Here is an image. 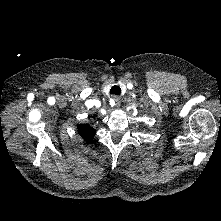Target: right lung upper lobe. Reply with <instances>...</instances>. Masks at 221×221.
I'll list each match as a JSON object with an SVG mask.
<instances>
[{"label":"right lung upper lobe","mask_w":221,"mask_h":221,"mask_svg":"<svg viewBox=\"0 0 221 221\" xmlns=\"http://www.w3.org/2000/svg\"><path fill=\"white\" fill-rule=\"evenodd\" d=\"M78 133L86 140L92 141L93 136L95 135V130L90 127L89 124L78 125Z\"/></svg>","instance_id":"obj_1"}]
</instances>
